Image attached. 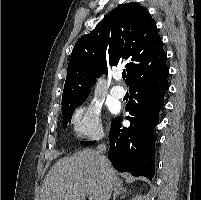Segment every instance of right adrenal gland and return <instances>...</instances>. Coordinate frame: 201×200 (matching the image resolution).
Returning <instances> with one entry per match:
<instances>
[{
  "mask_svg": "<svg viewBox=\"0 0 201 200\" xmlns=\"http://www.w3.org/2000/svg\"><path fill=\"white\" fill-rule=\"evenodd\" d=\"M113 191H114V193H113V200H116V198H117L119 195L125 193V192L127 191V189L124 188L122 184H118V185H115V186H114Z\"/></svg>",
  "mask_w": 201,
  "mask_h": 200,
  "instance_id": "obj_1",
  "label": "right adrenal gland"
}]
</instances>
